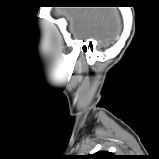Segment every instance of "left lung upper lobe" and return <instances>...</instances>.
<instances>
[{"label": "left lung upper lobe", "instance_id": "1", "mask_svg": "<svg viewBox=\"0 0 159 159\" xmlns=\"http://www.w3.org/2000/svg\"><path fill=\"white\" fill-rule=\"evenodd\" d=\"M84 159H118V156L114 155L110 152H96L91 155H87L84 157Z\"/></svg>", "mask_w": 159, "mask_h": 159}]
</instances>
